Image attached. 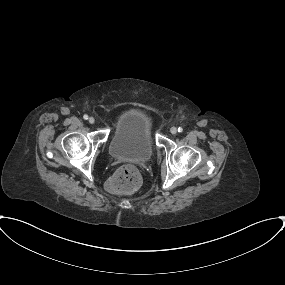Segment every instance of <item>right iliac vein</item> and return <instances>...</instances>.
Listing matches in <instances>:
<instances>
[{
    "label": "right iliac vein",
    "mask_w": 285,
    "mask_h": 285,
    "mask_svg": "<svg viewBox=\"0 0 285 285\" xmlns=\"http://www.w3.org/2000/svg\"><path fill=\"white\" fill-rule=\"evenodd\" d=\"M88 121H89L90 124H94L95 123V119L93 117H90Z\"/></svg>",
    "instance_id": "right-iliac-vein-1"
}]
</instances>
